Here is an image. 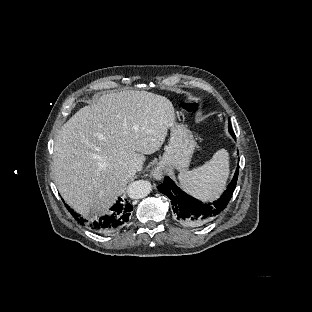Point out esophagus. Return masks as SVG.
<instances>
[{"mask_svg": "<svg viewBox=\"0 0 312 312\" xmlns=\"http://www.w3.org/2000/svg\"><path fill=\"white\" fill-rule=\"evenodd\" d=\"M150 174L156 180H160L163 177L161 170H159L158 168L152 169Z\"/></svg>", "mask_w": 312, "mask_h": 312, "instance_id": "1", "label": "esophagus"}]
</instances>
